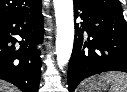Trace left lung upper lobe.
<instances>
[{
    "instance_id": "left-lung-upper-lobe-1",
    "label": "left lung upper lobe",
    "mask_w": 127,
    "mask_h": 92,
    "mask_svg": "<svg viewBox=\"0 0 127 92\" xmlns=\"http://www.w3.org/2000/svg\"><path fill=\"white\" fill-rule=\"evenodd\" d=\"M89 7L122 14V7L119 0H74Z\"/></svg>"
}]
</instances>
